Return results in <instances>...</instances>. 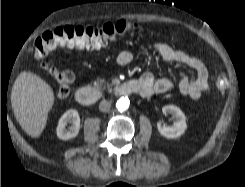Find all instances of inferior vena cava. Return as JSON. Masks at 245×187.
Segmentation results:
<instances>
[{
	"instance_id": "obj_1",
	"label": "inferior vena cava",
	"mask_w": 245,
	"mask_h": 187,
	"mask_svg": "<svg viewBox=\"0 0 245 187\" xmlns=\"http://www.w3.org/2000/svg\"><path fill=\"white\" fill-rule=\"evenodd\" d=\"M110 108H111V103L106 100L101 101L99 104V110L101 112H108Z\"/></svg>"
}]
</instances>
